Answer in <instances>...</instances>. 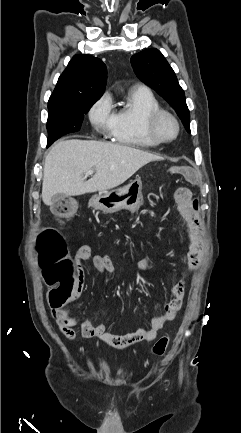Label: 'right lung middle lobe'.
<instances>
[{
	"label": "right lung middle lobe",
	"instance_id": "1",
	"mask_svg": "<svg viewBox=\"0 0 241 433\" xmlns=\"http://www.w3.org/2000/svg\"><path fill=\"white\" fill-rule=\"evenodd\" d=\"M96 101L97 99L48 102L47 146L67 133L79 131L84 115Z\"/></svg>",
	"mask_w": 241,
	"mask_h": 433
}]
</instances>
